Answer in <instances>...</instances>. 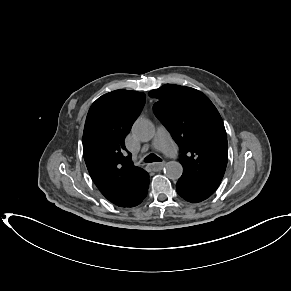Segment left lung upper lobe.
I'll return each instance as SVG.
<instances>
[{"label":"left lung upper lobe","mask_w":291,"mask_h":291,"mask_svg":"<svg viewBox=\"0 0 291 291\" xmlns=\"http://www.w3.org/2000/svg\"><path fill=\"white\" fill-rule=\"evenodd\" d=\"M149 96L157 99L153 111L182 153L181 178L215 192L228 159L226 131L216 107L202 92L173 84L154 89Z\"/></svg>","instance_id":"left-lung-upper-lobe-1"}]
</instances>
